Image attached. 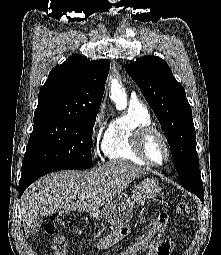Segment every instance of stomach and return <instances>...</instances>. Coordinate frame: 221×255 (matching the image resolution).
<instances>
[{
    "label": "stomach",
    "mask_w": 221,
    "mask_h": 255,
    "mask_svg": "<svg viewBox=\"0 0 221 255\" xmlns=\"http://www.w3.org/2000/svg\"><path fill=\"white\" fill-rule=\"evenodd\" d=\"M161 192L159 183L154 178H145L134 189L132 196L119 194L110 202L106 203L102 212H94V217L103 216L113 226H124L133 217L135 204L144 205L148 199L155 198Z\"/></svg>",
    "instance_id": "obj_1"
}]
</instances>
